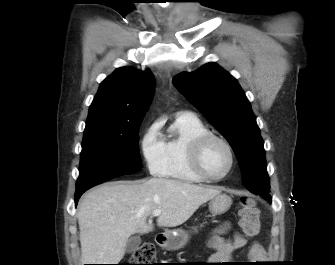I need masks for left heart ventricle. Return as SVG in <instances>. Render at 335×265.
I'll return each instance as SVG.
<instances>
[{
  "instance_id": "left-heart-ventricle-1",
  "label": "left heart ventricle",
  "mask_w": 335,
  "mask_h": 265,
  "mask_svg": "<svg viewBox=\"0 0 335 265\" xmlns=\"http://www.w3.org/2000/svg\"><path fill=\"white\" fill-rule=\"evenodd\" d=\"M230 163V156L226 147L218 142H209L202 154V165L212 176H220L226 172Z\"/></svg>"
}]
</instances>
